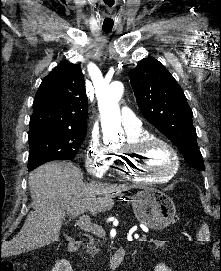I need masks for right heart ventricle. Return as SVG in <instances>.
I'll list each match as a JSON object with an SVG mask.
<instances>
[{"mask_svg": "<svg viewBox=\"0 0 221 271\" xmlns=\"http://www.w3.org/2000/svg\"><path fill=\"white\" fill-rule=\"evenodd\" d=\"M149 132L142 131L134 133L128 136L125 144H139L141 140H146ZM124 179L127 177L125 174L122 176ZM134 183H172V178H168L167 174H154V176H148V174H140V178L134 174Z\"/></svg>", "mask_w": 221, "mask_h": 271, "instance_id": "e07e8e85", "label": "right heart ventricle"}]
</instances>
